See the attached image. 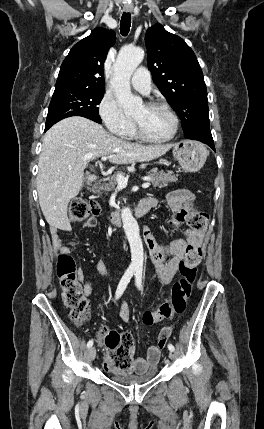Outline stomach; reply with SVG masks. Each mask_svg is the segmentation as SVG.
Instances as JSON below:
<instances>
[{"label":"stomach","instance_id":"obj_1","mask_svg":"<svg viewBox=\"0 0 264 429\" xmlns=\"http://www.w3.org/2000/svg\"><path fill=\"white\" fill-rule=\"evenodd\" d=\"M172 153L185 172L200 170L208 156V151L202 143L189 140L175 143Z\"/></svg>","mask_w":264,"mask_h":429}]
</instances>
